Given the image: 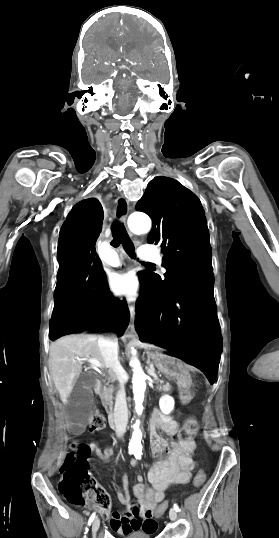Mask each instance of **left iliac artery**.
<instances>
[{
    "instance_id": "1",
    "label": "left iliac artery",
    "mask_w": 279,
    "mask_h": 538,
    "mask_svg": "<svg viewBox=\"0 0 279 538\" xmlns=\"http://www.w3.org/2000/svg\"><path fill=\"white\" fill-rule=\"evenodd\" d=\"M136 459H141V455H142V449H137L134 453ZM174 509L176 512H179L180 511V508L177 504H174Z\"/></svg>"
}]
</instances>
